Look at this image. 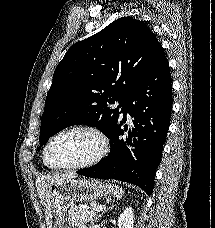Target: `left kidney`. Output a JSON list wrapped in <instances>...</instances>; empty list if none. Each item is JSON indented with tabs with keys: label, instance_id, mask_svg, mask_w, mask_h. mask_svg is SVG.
Returning a JSON list of instances; mask_svg holds the SVG:
<instances>
[{
	"label": "left kidney",
	"instance_id": "5707ae66",
	"mask_svg": "<svg viewBox=\"0 0 215 228\" xmlns=\"http://www.w3.org/2000/svg\"><path fill=\"white\" fill-rule=\"evenodd\" d=\"M134 220L133 208H125L120 218H118V228H133Z\"/></svg>",
	"mask_w": 215,
	"mask_h": 228
}]
</instances>
